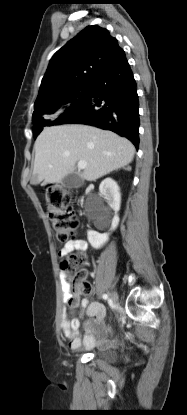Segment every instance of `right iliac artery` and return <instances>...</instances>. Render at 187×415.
Segmentation results:
<instances>
[{
  "label": "right iliac artery",
  "instance_id": "obj_1",
  "mask_svg": "<svg viewBox=\"0 0 187 415\" xmlns=\"http://www.w3.org/2000/svg\"><path fill=\"white\" fill-rule=\"evenodd\" d=\"M103 299L107 300L108 299V295L107 294H103Z\"/></svg>",
  "mask_w": 187,
  "mask_h": 415
}]
</instances>
